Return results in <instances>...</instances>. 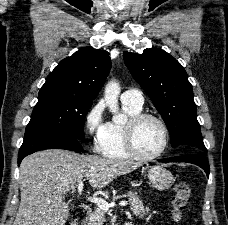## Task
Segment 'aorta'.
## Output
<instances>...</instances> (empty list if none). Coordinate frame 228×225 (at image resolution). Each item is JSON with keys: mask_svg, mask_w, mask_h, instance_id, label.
Wrapping results in <instances>:
<instances>
[{"mask_svg": "<svg viewBox=\"0 0 228 225\" xmlns=\"http://www.w3.org/2000/svg\"><path fill=\"white\" fill-rule=\"evenodd\" d=\"M120 92V84L116 82V80H110L108 84L105 86L104 90V98L106 100V104L112 113V121L115 125H124L127 123L128 117L127 115H121L119 113V104H118V94Z\"/></svg>", "mask_w": 228, "mask_h": 225, "instance_id": "762f6f07", "label": "aorta"}]
</instances>
